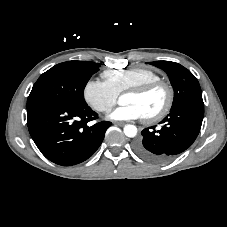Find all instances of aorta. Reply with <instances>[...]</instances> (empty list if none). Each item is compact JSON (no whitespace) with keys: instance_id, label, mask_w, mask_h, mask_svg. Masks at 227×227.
Wrapping results in <instances>:
<instances>
[{"instance_id":"obj_1","label":"aorta","mask_w":227,"mask_h":227,"mask_svg":"<svg viewBox=\"0 0 227 227\" xmlns=\"http://www.w3.org/2000/svg\"><path fill=\"white\" fill-rule=\"evenodd\" d=\"M124 134L127 137L133 138L137 135V128L134 125H125L124 126Z\"/></svg>"}]
</instances>
